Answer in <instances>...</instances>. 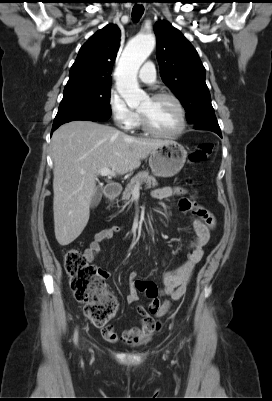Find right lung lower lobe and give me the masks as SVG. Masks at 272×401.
<instances>
[{"instance_id":"obj_1","label":"right lung lower lobe","mask_w":272,"mask_h":401,"mask_svg":"<svg viewBox=\"0 0 272 401\" xmlns=\"http://www.w3.org/2000/svg\"><path fill=\"white\" fill-rule=\"evenodd\" d=\"M74 120H88V121H94V122L95 121H102V120H97V119H94V118H77V119H73V120H70V121H74ZM70 121H68V122H70ZM65 123H67V122H65ZM60 125H62V124L53 125L51 132H54Z\"/></svg>"}]
</instances>
